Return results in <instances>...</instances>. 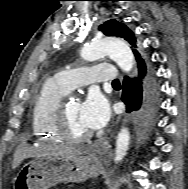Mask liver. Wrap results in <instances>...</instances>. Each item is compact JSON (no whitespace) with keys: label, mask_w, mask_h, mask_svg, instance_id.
<instances>
[{"label":"liver","mask_w":188,"mask_h":189,"mask_svg":"<svg viewBox=\"0 0 188 189\" xmlns=\"http://www.w3.org/2000/svg\"><path fill=\"white\" fill-rule=\"evenodd\" d=\"M82 154H84V151L67 145H48L34 148L21 144L15 150L12 168H17L26 157H56Z\"/></svg>","instance_id":"obj_1"}]
</instances>
